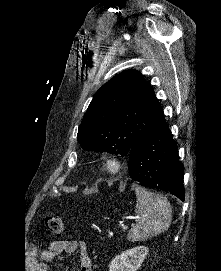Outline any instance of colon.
<instances>
[{
    "label": "colon",
    "instance_id": "obj_1",
    "mask_svg": "<svg viewBox=\"0 0 221 271\" xmlns=\"http://www.w3.org/2000/svg\"><path fill=\"white\" fill-rule=\"evenodd\" d=\"M44 225L52 235L60 236L63 232V222L57 215H48L45 218Z\"/></svg>",
    "mask_w": 221,
    "mask_h": 271
}]
</instances>
